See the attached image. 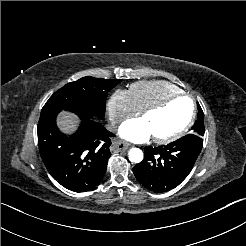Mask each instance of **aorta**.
Returning <instances> with one entry per match:
<instances>
[{
  "mask_svg": "<svg viewBox=\"0 0 246 246\" xmlns=\"http://www.w3.org/2000/svg\"><path fill=\"white\" fill-rule=\"evenodd\" d=\"M128 157L132 163H140L143 160V152L139 148H131Z\"/></svg>",
  "mask_w": 246,
  "mask_h": 246,
  "instance_id": "aorta-1",
  "label": "aorta"
}]
</instances>
